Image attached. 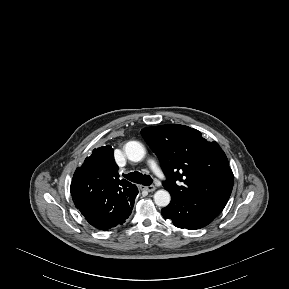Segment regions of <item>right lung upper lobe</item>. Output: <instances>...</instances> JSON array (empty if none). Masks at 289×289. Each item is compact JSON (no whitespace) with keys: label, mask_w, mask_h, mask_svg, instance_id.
Segmentation results:
<instances>
[{"label":"right lung upper lobe","mask_w":289,"mask_h":289,"mask_svg":"<svg viewBox=\"0 0 289 289\" xmlns=\"http://www.w3.org/2000/svg\"><path fill=\"white\" fill-rule=\"evenodd\" d=\"M113 152L109 145L94 149L75 171L72 181L77 185L72 199L80 211L112 210L118 203L136 197V186L119 179Z\"/></svg>","instance_id":"cb5924a9"}]
</instances>
